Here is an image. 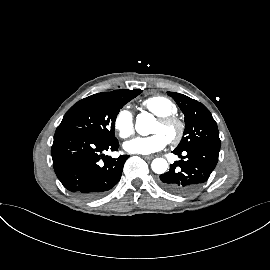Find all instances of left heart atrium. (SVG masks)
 I'll return each mask as SVG.
<instances>
[{
	"mask_svg": "<svg viewBox=\"0 0 270 270\" xmlns=\"http://www.w3.org/2000/svg\"><path fill=\"white\" fill-rule=\"evenodd\" d=\"M168 144L167 138L155 133L147 137H135L124 144L126 151L132 154L149 155L164 149Z\"/></svg>",
	"mask_w": 270,
	"mask_h": 270,
	"instance_id": "left-heart-atrium-1",
	"label": "left heart atrium"
}]
</instances>
